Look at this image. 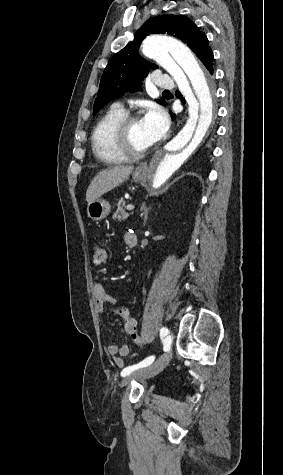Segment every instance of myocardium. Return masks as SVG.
Segmentation results:
<instances>
[{"mask_svg":"<svg viewBox=\"0 0 283 475\" xmlns=\"http://www.w3.org/2000/svg\"><path fill=\"white\" fill-rule=\"evenodd\" d=\"M139 118L138 113H129L122 120H120L112 130L111 140L121 144H129V135L132 124ZM153 145L145 151L132 152L130 155L112 156L106 153L102 147L98 151L99 157L104 162H138L145 159L152 151Z\"/></svg>","mask_w":283,"mask_h":475,"instance_id":"f54148a6","label":"myocardium"}]
</instances>
